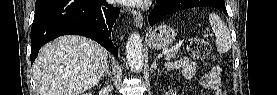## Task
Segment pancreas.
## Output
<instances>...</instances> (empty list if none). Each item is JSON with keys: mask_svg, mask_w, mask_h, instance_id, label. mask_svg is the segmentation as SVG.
I'll return each mask as SVG.
<instances>
[{"mask_svg": "<svg viewBox=\"0 0 277 95\" xmlns=\"http://www.w3.org/2000/svg\"><path fill=\"white\" fill-rule=\"evenodd\" d=\"M177 53H178V48L171 49L169 53L166 55V60L174 59Z\"/></svg>", "mask_w": 277, "mask_h": 95, "instance_id": "obj_1", "label": "pancreas"}]
</instances>
